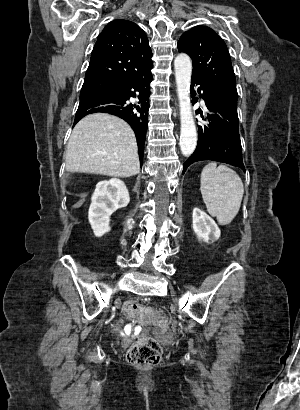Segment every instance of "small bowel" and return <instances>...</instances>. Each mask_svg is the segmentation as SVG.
I'll return each mask as SVG.
<instances>
[{
    "mask_svg": "<svg viewBox=\"0 0 300 410\" xmlns=\"http://www.w3.org/2000/svg\"><path fill=\"white\" fill-rule=\"evenodd\" d=\"M120 328V326H118L116 329L118 330Z\"/></svg>",
    "mask_w": 300,
    "mask_h": 410,
    "instance_id": "obj_1",
    "label": "small bowel"
}]
</instances>
